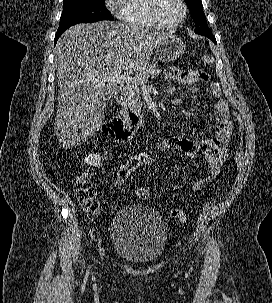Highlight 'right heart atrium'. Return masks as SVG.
<instances>
[{
	"label": "right heart atrium",
	"mask_w": 272,
	"mask_h": 303,
	"mask_svg": "<svg viewBox=\"0 0 272 303\" xmlns=\"http://www.w3.org/2000/svg\"><path fill=\"white\" fill-rule=\"evenodd\" d=\"M123 0H106L108 9L115 15H121V7Z\"/></svg>",
	"instance_id": "d8ad5b80"
}]
</instances>
